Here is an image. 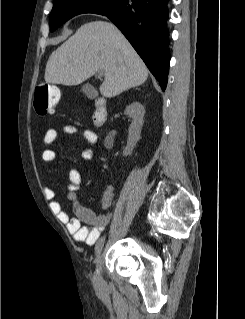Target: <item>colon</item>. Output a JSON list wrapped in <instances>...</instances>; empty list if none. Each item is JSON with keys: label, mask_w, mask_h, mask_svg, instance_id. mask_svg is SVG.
I'll return each instance as SVG.
<instances>
[{"label": "colon", "mask_w": 245, "mask_h": 319, "mask_svg": "<svg viewBox=\"0 0 245 319\" xmlns=\"http://www.w3.org/2000/svg\"><path fill=\"white\" fill-rule=\"evenodd\" d=\"M60 91L57 87L49 84H39L34 94V109L40 116L50 114L58 100L60 99Z\"/></svg>", "instance_id": "obj_1"}]
</instances>
